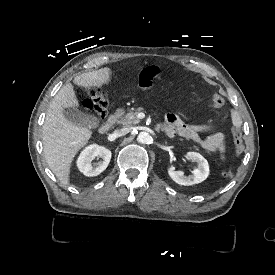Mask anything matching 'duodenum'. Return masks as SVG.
Segmentation results:
<instances>
[{"instance_id": "duodenum-1", "label": "duodenum", "mask_w": 275, "mask_h": 275, "mask_svg": "<svg viewBox=\"0 0 275 275\" xmlns=\"http://www.w3.org/2000/svg\"><path fill=\"white\" fill-rule=\"evenodd\" d=\"M117 120V115H111L99 128L100 134H107L109 133L112 128L114 127ZM158 130H162L164 132H167V128L165 125H158Z\"/></svg>"}]
</instances>
